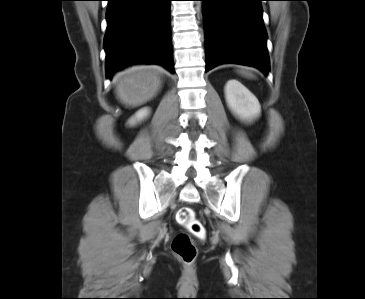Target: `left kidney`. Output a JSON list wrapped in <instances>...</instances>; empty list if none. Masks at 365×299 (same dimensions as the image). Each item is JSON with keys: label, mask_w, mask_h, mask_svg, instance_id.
Wrapping results in <instances>:
<instances>
[{"label": "left kidney", "mask_w": 365, "mask_h": 299, "mask_svg": "<svg viewBox=\"0 0 365 299\" xmlns=\"http://www.w3.org/2000/svg\"><path fill=\"white\" fill-rule=\"evenodd\" d=\"M225 98L228 107L241 120L251 121L261 113L257 98L237 80L226 83Z\"/></svg>", "instance_id": "obj_1"}]
</instances>
